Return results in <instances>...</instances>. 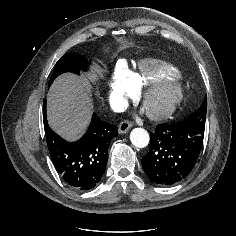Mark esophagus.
<instances>
[{"label":"esophagus","instance_id":"esophagus-1","mask_svg":"<svg viewBox=\"0 0 236 236\" xmlns=\"http://www.w3.org/2000/svg\"><path fill=\"white\" fill-rule=\"evenodd\" d=\"M132 127V123H130L129 121H123L119 124L118 127V132L123 134L129 131V129Z\"/></svg>","mask_w":236,"mask_h":236}]
</instances>
